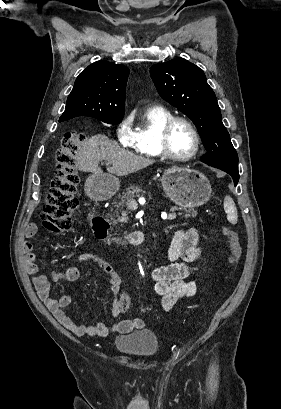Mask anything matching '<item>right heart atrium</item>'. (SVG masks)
<instances>
[{
  "label": "right heart atrium",
  "instance_id": "1",
  "mask_svg": "<svg viewBox=\"0 0 281 409\" xmlns=\"http://www.w3.org/2000/svg\"><path fill=\"white\" fill-rule=\"evenodd\" d=\"M133 119H123L116 126V137L118 141L126 147H130L133 131L131 129Z\"/></svg>",
  "mask_w": 281,
  "mask_h": 409
}]
</instances>
